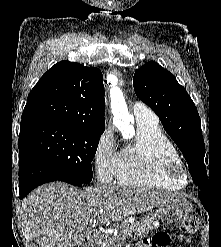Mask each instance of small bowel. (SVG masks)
<instances>
[{"mask_svg":"<svg viewBox=\"0 0 221 247\" xmlns=\"http://www.w3.org/2000/svg\"><path fill=\"white\" fill-rule=\"evenodd\" d=\"M138 247H151L147 242H144L140 245H138Z\"/></svg>","mask_w":221,"mask_h":247,"instance_id":"c3829d8e","label":"small bowel"}]
</instances>
